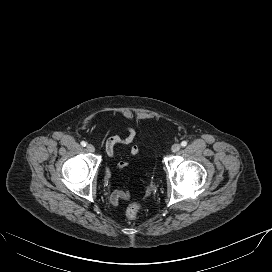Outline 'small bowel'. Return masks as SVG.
I'll return each mask as SVG.
<instances>
[{
	"instance_id": "1",
	"label": "small bowel",
	"mask_w": 272,
	"mask_h": 272,
	"mask_svg": "<svg viewBox=\"0 0 272 272\" xmlns=\"http://www.w3.org/2000/svg\"><path fill=\"white\" fill-rule=\"evenodd\" d=\"M137 132L132 126H127L126 135H111L106 138V152L110 157H115V146L116 145H126L131 146L129 150L130 156H137L139 154V147L134 145ZM128 166V162L125 160H120L117 164L118 169H123ZM107 177H110V172L108 171ZM130 196L127 190H114L110 194V201L113 206H117L121 200H126Z\"/></svg>"
}]
</instances>
